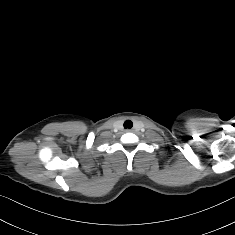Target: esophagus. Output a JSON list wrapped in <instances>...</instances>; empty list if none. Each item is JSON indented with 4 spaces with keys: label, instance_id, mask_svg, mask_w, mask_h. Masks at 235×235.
<instances>
[{
    "label": "esophagus",
    "instance_id": "1",
    "mask_svg": "<svg viewBox=\"0 0 235 235\" xmlns=\"http://www.w3.org/2000/svg\"><path fill=\"white\" fill-rule=\"evenodd\" d=\"M126 132H133V129H126Z\"/></svg>",
    "mask_w": 235,
    "mask_h": 235
}]
</instances>
